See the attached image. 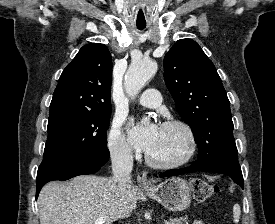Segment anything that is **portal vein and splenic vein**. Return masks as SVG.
<instances>
[{"instance_id":"portal-vein-and-splenic-vein-1","label":"portal vein and splenic vein","mask_w":275,"mask_h":224,"mask_svg":"<svg viewBox=\"0 0 275 224\" xmlns=\"http://www.w3.org/2000/svg\"><path fill=\"white\" fill-rule=\"evenodd\" d=\"M105 221H106V218L101 217L96 220L95 224H103Z\"/></svg>"}]
</instances>
